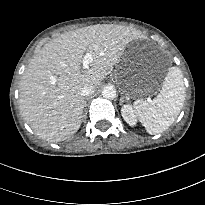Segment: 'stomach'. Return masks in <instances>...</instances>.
Here are the masks:
<instances>
[{
    "label": "stomach",
    "mask_w": 205,
    "mask_h": 205,
    "mask_svg": "<svg viewBox=\"0 0 205 205\" xmlns=\"http://www.w3.org/2000/svg\"><path fill=\"white\" fill-rule=\"evenodd\" d=\"M140 75L133 51H126L115 73V77L122 91L136 97L152 93L154 91V86L142 80Z\"/></svg>",
    "instance_id": "0dacf381"
}]
</instances>
